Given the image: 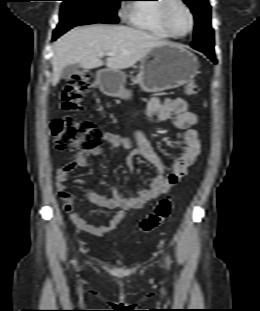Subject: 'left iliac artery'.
Masks as SVG:
<instances>
[{
	"label": "left iliac artery",
	"instance_id": "1",
	"mask_svg": "<svg viewBox=\"0 0 260 311\" xmlns=\"http://www.w3.org/2000/svg\"><path fill=\"white\" fill-rule=\"evenodd\" d=\"M167 264L169 265L168 259L166 258Z\"/></svg>",
	"mask_w": 260,
	"mask_h": 311
}]
</instances>
